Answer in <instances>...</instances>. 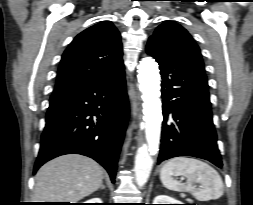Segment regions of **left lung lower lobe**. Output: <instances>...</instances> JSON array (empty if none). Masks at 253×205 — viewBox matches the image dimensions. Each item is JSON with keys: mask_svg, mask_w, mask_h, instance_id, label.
Returning <instances> with one entry per match:
<instances>
[{"mask_svg": "<svg viewBox=\"0 0 253 205\" xmlns=\"http://www.w3.org/2000/svg\"><path fill=\"white\" fill-rule=\"evenodd\" d=\"M159 64L163 124L158 163L177 156L206 159L222 167L204 69L194 60L149 40Z\"/></svg>", "mask_w": 253, "mask_h": 205, "instance_id": "0a47b994", "label": "left lung lower lobe"}]
</instances>
